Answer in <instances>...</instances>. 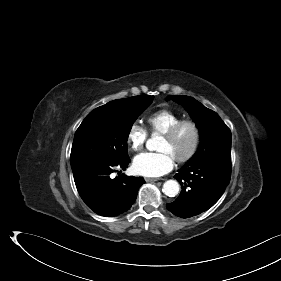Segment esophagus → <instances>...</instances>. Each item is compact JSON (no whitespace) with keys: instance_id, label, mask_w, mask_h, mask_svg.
I'll use <instances>...</instances> for the list:
<instances>
[{"instance_id":"esophagus-1","label":"esophagus","mask_w":281,"mask_h":281,"mask_svg":"<svg viewBox=\"0 0 281 281\" xmlns=\"http://www.w3.org/2000/svg\"><path fill=\"white\" fill-rule=\"evenodd\" d=\"M160 178H145L146 182H155V181H159Z\"/></svg>"}]
</instances>
